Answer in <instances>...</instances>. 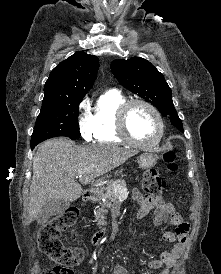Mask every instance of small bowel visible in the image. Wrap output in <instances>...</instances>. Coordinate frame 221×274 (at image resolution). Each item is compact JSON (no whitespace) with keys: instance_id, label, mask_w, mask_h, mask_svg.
I'll return each mask as SVG.
<instances>
[{"instance_id":"small-bowel-1","label":"small bowel","mask_w":221,"mask_h":274,"mask_svg":"<svg viewBox=\"0 0 221 274\" xmlns=\"http://www.w3.org/2000/svg\"><path fill=\"white\" fill-rule=\"evenodd\" d=\"M133 199L139 204L135 212L137 219L146 217L153 211L152 223L159 226L167 221L174 227L171 231L163 234V240L173 243L169 251H165L160 256L149 263L152 270L161 269L160 274H170L172 267L182 255L188 237L189 226L176 211L173 204L165 202L161 198H150L144 196L139 190L132 192ZM113 274H131L130 271L121 265L114 268Z\"/></svg>"}]
</instances>
